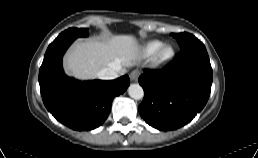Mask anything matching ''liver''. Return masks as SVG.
<instances>
[{
    "label": "liver",
    "instance_id": "liver-1",
    "mask_svg": "<svg viewBox=\"0 0 258 158\" xmlns=\"http://www.w3.org/2000/svg\"><path fill=\"white\" fill-rule=\"evenodd\" d=\"M137 39L132 35H114L103 40L76 42L65 57L68 74L82 80L97 77L100 70L120 64L119 74L138 57Z\"/></svg>",
    "mask_w": 258,
    "mask_h": 158
}]
</instances>
